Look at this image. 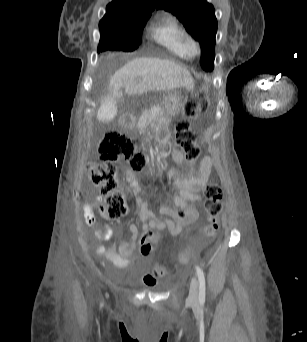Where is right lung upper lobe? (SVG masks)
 Masks as SVG:
<instances>
[{
	"label": "right lung upper lobe",
	"mask_w": 307,
	"mask_h": 342,
	"mask_svg": "<svg viewBox=\"0 0 307 342\" xmlns=\"http://www.w3.org/2000/svg\"><path fill=\"white\" fill-rule=\"evenodd\" d=\"M157 0H114L99 23L102 33L141 34Z\"/></svg>",
	"instance_id": "1"
}]
</instances>
